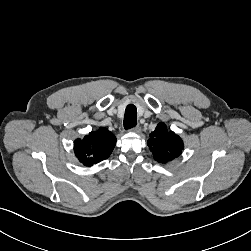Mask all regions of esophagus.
Here are the masks:
<instances>
[{"label":"esophagus","instance_id":"34e87169","mask_svg":"<svg viewBox=\"0 0 251 251\" xmlns=\"http://www.w3.org/2000/svg\"><path fill=\"white\" fill-rule=\"evenodd\" d=\"M131 131L132 132H135V133H140L141 132V127L139 125L131 128Z\"/></svg>","mask_w":251,"mask_h":251}]
</instances>
